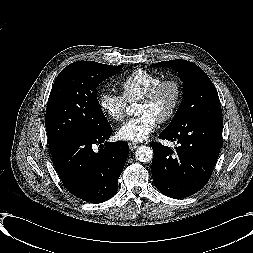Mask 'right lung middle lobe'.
<instances>
[{"label": "right lung middle lobe", "instance_id": "1", "mask_svg": "<svg viewBox=\"0 0 253 253\" xmlns=\"http://www.w3.org/2000/svg\"><path fill=\"white\" fill-rule=\"evenodd\" d=\"M123 65L77 61L57 76L47 103L46 131L49 149L80 131H97L109 124L97 100L96 88L117 74Z\"/></svg>", "mask_w": 253, "mask_h": 253}]
</instances>
